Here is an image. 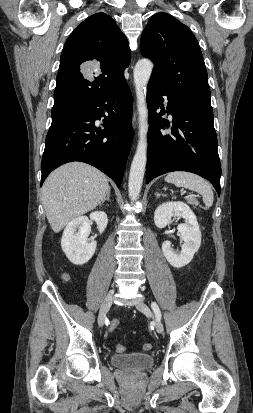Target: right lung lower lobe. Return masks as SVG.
Wrapping results in <instances>:
<instances>
[{
	"instance_id": "1",
	"label": "right lung lower lobe",
	"mask_w": 253,
	"mask_h": 413,
	"mask_svg": "<svg viewBox=\"0 0 253 413\" xmlns=\"http://www.w3.org/2000/svg\"><path fill=\"white\" fill-rule=\"evenodd\" d=\"M132 103L124 80L82 106L52 118L41 163V184L60 165L81 161L98 168L120 187L133 138ZM101 117L103 129L95 126Z\"/></svg>"
}]
</instances>
